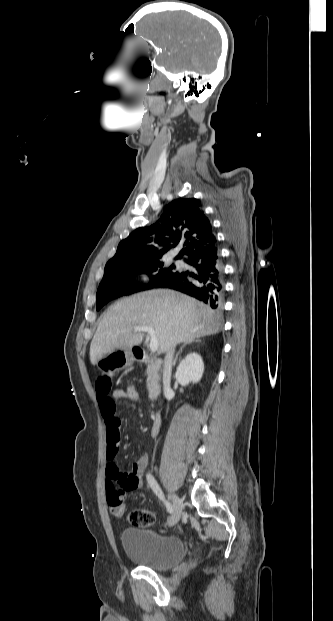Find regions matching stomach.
Here are the masks:
<instances>
[{
	"instance_id": "0dacf381",
	"label": "stomach",
	"mask_w": 333,
	"mask_h": 621,
	"mask_svg": "<svg viewBox=\"0 0 333 621\" xmlns=\"http://www.w3.org/2000/svg\"><path fill=\"white\" fill-rule=\"evenodd\" d=\"M134 361L132 349H122L115 347L109 351V354L97 362V367L101 372H114L121 370L125 366Z\"/></svg>"
}]
</instances>
